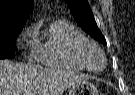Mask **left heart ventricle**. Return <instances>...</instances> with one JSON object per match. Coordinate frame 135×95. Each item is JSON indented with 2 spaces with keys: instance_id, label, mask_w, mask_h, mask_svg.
Masks as SVG:
<instances>
[{
  "instance_id": "obj_1",
  "label": "left heart ventricle",
  "mask_w": 135,
  "mask_h": 95,
  "mask_svg": "<svg viewBox=\"0 0 135 95\" xmlns=\"http://www.w3.org/2000/svg\"><path fill=\"white\" fill-rule=\"evenodd\" d=\"M85 58L88 65L93 69H100L103 66V60L100 54L92 49H88L85 52Z\"/></svg>"
}]
</instances>
